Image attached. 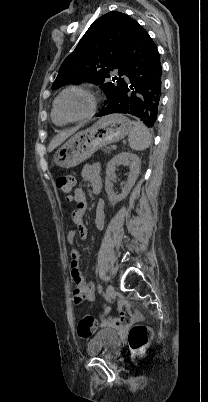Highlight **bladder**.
I'll use <instances>...</instances> for the list:
<instances>
[{
  "mask_svg": "<svg viewBox=\"0 0 208 402\" xmlns=\"http://www.w3.org/2000/svg\"><path fill=\"white\" fill-rule=\"evenodd\" d=\"M121 347V339L114 329L99 330L88 342V355L115 356Z\"/></svg>",
  "mask_w": 208,
  "mask_h": 402,
  "instance_id": "bladder-1",
  "label": "bladder"
}]
</instances>
